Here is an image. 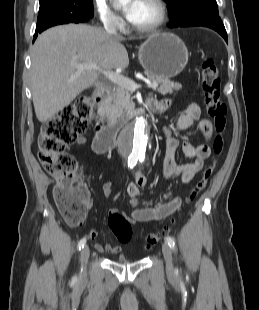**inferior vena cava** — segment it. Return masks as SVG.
Listing matches in <instances>:
<instances>
[{
    "mask_svg": "<svg viewBox=\"0 0 259 310\" xmlns=\"http://www.w3.org/2000/svg\"><path fill=\"white\" fill-rule=\"evenodd\" d=\"M105 30L108 34L118 37L117 29H116V23L113 20H108L105 24Z\"/></svg>",
    "mask_w": 259,
    "mask_h": 310,
    "instance_id": "obj_1",
    "label": "inferior vena cava"
}]
</instances>
